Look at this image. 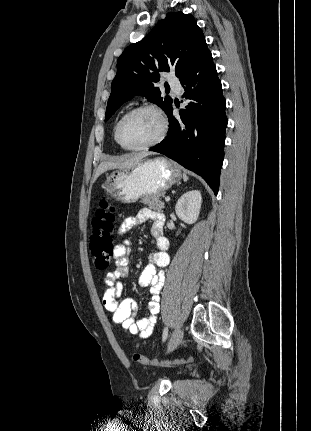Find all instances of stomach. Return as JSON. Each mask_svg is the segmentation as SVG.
Segmentation results:
<instances>
[{
	"label": "stomach",
	"instance_id": "stomach-1",
	"mask_svg": "<svg viewBox=\"0 0 311 431\" xmlns=\"http://www.w3.org/2000/svg\"><path fill=\"white\" fill-rule=\"evenodd\" d=\"M180 168L167 158L144 160L134 168L115 170L107 176L103 188L107 196L120 204H134L145 196H155L170 190L180 182Z\"/></svg>",
	"mask_w": 311,
	"mask_h": 431
}]
</instances>
